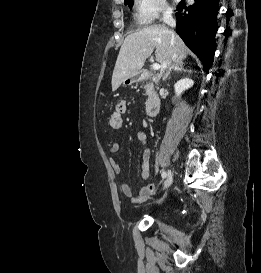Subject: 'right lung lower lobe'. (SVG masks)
<instances>
[{
  "instance_id": "98d812e1",
  "label": "right lung lower lobe",
  "mask_w": 261,
  "mask_h": 273,
  "mask_svg": "<svg viewBox=\"0 0 261 273\" xmlns=\"http://www.w3.org/2000/svg\"><path fill=\"white\" fill-rule=\"evenodd\" d=\"M218 10V0H195L192 6H185L182 0L177 7L176 32L200 58L206 72L212 66L216 47Z\"/></svg>"
}]
</instances>
